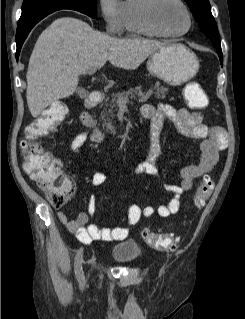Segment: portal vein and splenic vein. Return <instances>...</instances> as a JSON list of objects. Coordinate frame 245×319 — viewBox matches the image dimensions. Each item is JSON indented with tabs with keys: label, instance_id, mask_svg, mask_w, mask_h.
<instances>
[{
	"label": "portal vein and splenic vein",
	"instance_id": "18ae733b",
	"mask_svg": "<svg viewBox=\"0 0 245 319\" xmlns=\"http://www.w3.org/2000/svg\"><path fill=\"white\" fill-rule=\"evenodd\" d=\"M97 69H99V68L91 69V70L88 71V73H89L90 75H93V74L97 71ZM151 94H152V91L149 90V91L146 93V95H144L139 101H146V100L151 96ZM128 102H129V101H128L127 99H121V100L119 101V105H120L121 107H126V105H127Z\"/></svg>",
	"mask_w": 245,
	"mask_h": 319
}]
</instances>
